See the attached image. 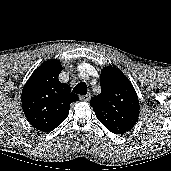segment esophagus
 I'll use <instances>...</instances> for the list:
<instances>
[{"instance_id":"1","label":"esophagus","mask_w":171,"mask_h":171,"mask_svg":"<svg viewBox=\"0 0 171 171\" xmlns=\"http://www.w3.org/2000/svg\"><path fill=\"white\" fill-rule=\"evenodd\" d=\"M90 98H91L90 94H85V95H80L79 96V99L82 100V101H89Z\"/></svg>"}]
</instances>
